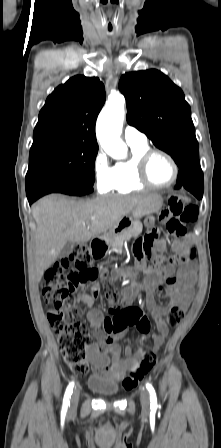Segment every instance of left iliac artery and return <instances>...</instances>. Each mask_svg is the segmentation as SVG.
<instances>
[{
  "label": "left iliac artery",
  "instance_id": "left-iliac-artery-1",
  "mask_svg": "<svg viewBox=\"0 0 221 448\" xmlns=\"http://www.w3.org/2000/svg\"><path fill=\"white\" fill-rule=\"evenodd\" d=\"M146 388L150 394V408H151V410H156L157 409V397H156L155 390H154L153 386L149 383L146 384Z\"/></svg>",
  "mask_w": 221,
  "mask_h": 448
}]
</instances>
